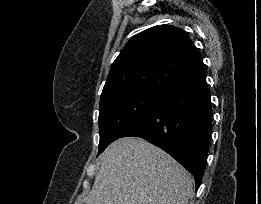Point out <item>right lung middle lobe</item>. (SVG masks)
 Instances as JSON below:
<instances>
[{
  "label": "right lung middle lobe",
  "mask_w": 261,
  "mask_h": 204,
  "mask_svg": "<svg viewBox=\"0 0 261 204\" xmlns=\"http://www.w3.org/2000/svg\"><path fill=\"white\" fill-rule=\"evenodd\" d=\"M165 93L155 90H123L101 98L98 155L150 112L162 100Z\"/></svg>",
  "instance_id": "right-lung-middle-lobe-1"
}]
</instances>
